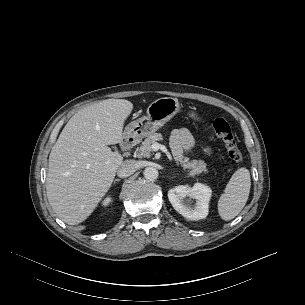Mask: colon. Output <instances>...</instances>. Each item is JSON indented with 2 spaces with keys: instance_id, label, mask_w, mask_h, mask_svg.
<instances>
[{
  "instance_id": "obj_1",
  "label": "colon",
  "mask_w": 305,
  "mask_h": 305,
  "mask_svg": "<svg viewBox=\"0 0 305 305\" xmlns=\"http://www.w3.org/2000/svg\"><path fill=\"white\" fill-rule=\"evenodd\" d=\"M213 128L216 135L224 142L228 156L233 161L240 162L242 160V153L237 146L235 136L229 123L223 118H216L213 121Z\"/></svg>"
}]
</instances>
